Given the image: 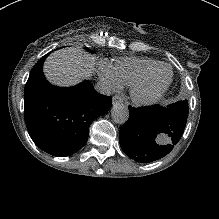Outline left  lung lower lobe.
Returning <instances> with one entry per match:
<instances>
[{
	"instance_id": "1",
	"label": "left lung lower lobe",
	"mask_w": 219,
	"mask_h": 219,
	"mask_svg": "<svg viewBox=\"0 0 219 219\" xmlns=\"http://www.w3.org/2000/svg\"><path fill=\"white\" fill-rule=\"evenodd\" d=\"M129 112V120L120 129V145L130 158L142 163L168 154L180 140L188 117L160 105L129 106Z\"/></svg>"
}]
</instances>
